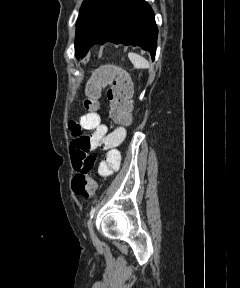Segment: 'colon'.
<instances>
[{
  "label": "colon",
  "instance_id": "obj_1",
  "mask_svg": "<svg viewBox=\"0 0 240 288\" xmlns=\"http://www.w3.org/2000/svg\"><path fill=\"white\" fill-rule=\"evenodd\" d=\"M108 87L107 97L110 101V116L118 124H128L132 114V85L128 73L114 65H102L92 72L84 90L85 108L96 111L102 89ZM74 193L84 199L92 197L97 184L87 173H80L72 180Z\"/></svg>",
  "mask_w": 240,
  "mask_h": 288
}]
</instances>
